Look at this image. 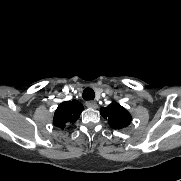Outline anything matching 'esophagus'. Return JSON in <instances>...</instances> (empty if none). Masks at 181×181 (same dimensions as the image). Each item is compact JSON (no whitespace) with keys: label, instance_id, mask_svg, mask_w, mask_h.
<instances>
[{"label":"esophagus","instance_id":"esophagus-1","mask_svg":"<svg viewBox=\"0 0 181 181\" xmlns=\"http://www.w3.org/2000/svg\"><path fill=\"white\" fill-rule=\"evenodd\" d=\"M86 106H87L88 108H93V109H95V108H97V103H96L95 101H87V102H86Z\"/></svg>","mask_w":181,"mask_h":181}]
</instances>
